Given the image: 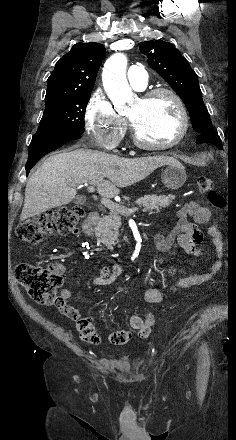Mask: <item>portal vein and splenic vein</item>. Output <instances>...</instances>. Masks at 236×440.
Returning <instances> with one entry per match:
<instances>
[{"mask_svg": "<svg viewBox=\"0 0 236 440\" xmlns=\"http://www.w3.org/2000/svg\"><path fill=\"white\" fill-rule=\"evenodd\" d=\"M79 186H83L81 184H79ZM84 186H87V184L85 183ZM89 192H93L94 188L93 187H89L88 188ZM101 203L107 207L110 210H115V211H119L121 213L127 214V215H131L132 213L138 211V208H131V209H123L119 204L111 201L110 199H108L107 197H103L101 199Z\"/></svg>", "mask_w": 236, "mask_h": 440, "instance_id": "obj_1", "label": "portal vein and splenic vein"}]
</instances>
